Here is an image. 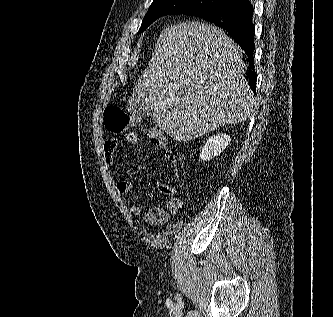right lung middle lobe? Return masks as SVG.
Instances as JSON below:
<instances>
[{
	"instance_id": "1",
	"label": "right lung middle lobe",
	"mask_w": 333,
	"mask_h": 317,
	"mask_svg": "<svg viewBox=\"0 0 333 317\" xmlns=\"http://www.w3.org/2000/svg\"><path fill=\"white\" fill-rule=\"evenodd\" d=\"M229 3L227 0H153L146 13L139 32L144 31L150 24L162 16L170 14L196 15Z\"/></svg>"
}]
</instances>
